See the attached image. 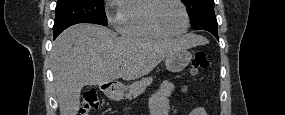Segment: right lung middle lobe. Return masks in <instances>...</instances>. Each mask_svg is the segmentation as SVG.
<instances>
[{
	"label": "right lung middle lobe",
	"instance_id": "obj_1",
	"mask_svg": "<svg viewBox=\"0 0 285 115\" xmlns=\"http://www.w3.org/2000/svg\"><path fill=\"white\" fill-rule=\"evenodd\" d=\"M103 2L104 0H58L53 31L64 30L81 22L107 25Z\"/></svg>",
	"mask_w": 285,
	"mask_h": 115
}]
</instances>
